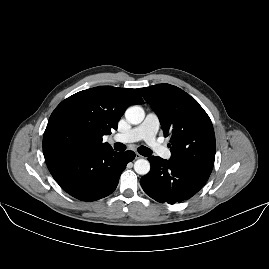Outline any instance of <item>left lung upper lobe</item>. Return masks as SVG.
I'll list each match as a JSON object with an SVG mask.
<instances>
[{
    "label": "left lung upper lobe",
    "instance_id": "1",
    "mask_svg": "<svg viewBox=\"0 0 269 269\" xmlns=\"http://www.w3.org/2000/svg\"><path fill=\"white\" fill-rule=\"evenodd\" d=\"M170 135V161L211 173L216 151L211 120L198 102L180 88L158 84L137 89Z\"/></svg>",
    "mask_w": 269,
    "mask_h": 269
}]
</instances>
